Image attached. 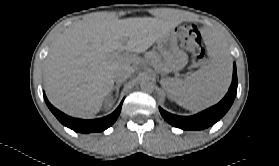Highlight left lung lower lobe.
<instances>
[{
	"mask_svg": "<svg viewBox=\"0 0 279 166\" xmlns=\"http://www.w3.org/2000/svg\"><path fill=\"white\" fill-rule=\"evenodd\" d=\"M237 92V72L234 64L232 84L226 96L215 106L194 116H177L159 108L163 118L171 125L187 130H201L215 124L231 107Z\"/></svg>",
	"mask_w": 279,
	"mask_h": 166,
	"instance_id": "1",
	"label": "left lung lower lobe"
}]
</instances>
